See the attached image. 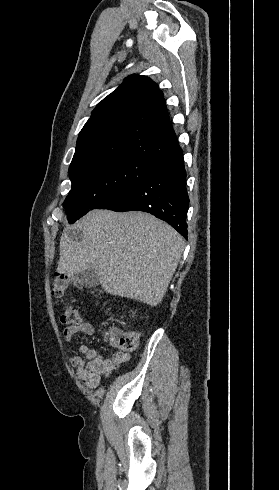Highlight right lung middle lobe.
Listing matches in <instances>:
<instances>
[{
    "label": "right lung middle lobe",
    "instance_id": "right-lung-middle-lobe-1",
    "mask_svg": "<svg viewBox=\"0 0 279 490\" xmlns=\"http://www.w3.org/2000/svg\"><path fill=\"white\" fill-rule=\"evenodd\" d=\"M154 166L134 159H103L70 171L72 188L64 202L70 224L95 209L113 192L134 183Z\"/></svg>",
    "mask_w": 279,
    "mask_h": 490
}]
</instances>
